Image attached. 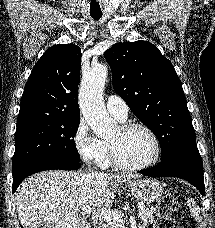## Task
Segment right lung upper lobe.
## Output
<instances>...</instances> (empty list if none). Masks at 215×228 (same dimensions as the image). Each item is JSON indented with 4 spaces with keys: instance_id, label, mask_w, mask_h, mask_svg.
<instances>
[{
    "instance_id": "cb5924a9",
    "label": "right lung upper lobe",
    "mask_w": 215,
    "mask_h": 228,
    "mask_svg": "<svg viewBox=\"0 0 215 228\" xmlns=\"http://www.w3.org/2000/svg\"><path fill=\"white\" fill-rule=\"evenodd\" d=\"M80 65L81 49L74 44H57L47 49L25 85L17 125L80 119Z\"/></svg>"
}]
</instances>
